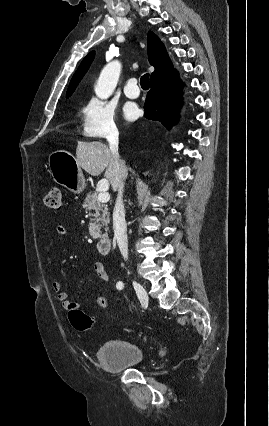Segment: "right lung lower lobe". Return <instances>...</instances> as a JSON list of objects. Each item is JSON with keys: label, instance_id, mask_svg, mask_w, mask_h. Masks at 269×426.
<instances>
[{"label": "right lung lower lobe", "instance_id": "98d812e1", "mask_svg": "<svg viewBox=\"0 0 269 426\" xmlns=\"http://www.w3.org/2000/svg\"><path fill=\"white\" fill-rule=\"evenodd\" d=\"M151 90L147 94L144 104L147 119L159 120L164 126L170 128L177 122L181 107L182 85L176 70L151 81Z\"/></svg>", "mask_w": 269, "mask_h": 426}]
</instances>
